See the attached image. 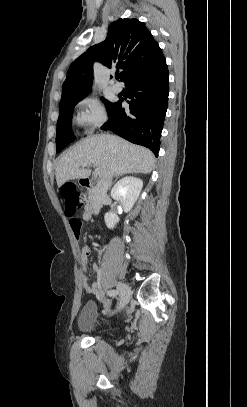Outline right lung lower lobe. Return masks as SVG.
I'll list each match as a JSON object with an SVG mask.
<instances>
[{"mask_svg": "<svg viewBox=\"0 0 247 407\" xmlns=\"http://www.w3.org/2000/svg\"><path fill=\"white\" fill-rule=\"evenodd\" d=\"M129 91V110L120 98L102 126L124 139L149 148L156 157L168 105L169 72L165 57L133 71L125 80Z\"/></svg>", "mask_w": 247, "mask_h": 407, "instance_id": "obj_1", "label": "right lung lower lobe"}]
</instances>
